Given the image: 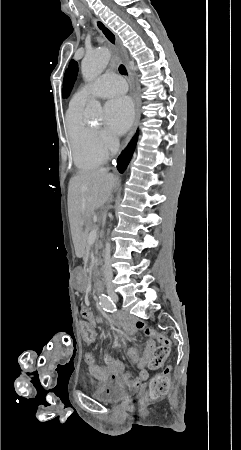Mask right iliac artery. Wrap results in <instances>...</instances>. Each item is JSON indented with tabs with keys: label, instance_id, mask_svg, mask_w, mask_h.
<instances>
[{
	"label": "right iliac artery",
	"instance_id": "obj_1",
	"mask_svg": "<svg viewBox=\"0 0 241 450\" xmlns=\"http://www.w3.org/2000/svg\"><path fill=\"white\" fill-rule=\"evenodd\" d=\"M99 298H100V305L105 311L107 312L116 311V305L109 296L102 294Z\"/></svg>",
	"mask_w": 241,
	"mask_h": 450
}]
</instances>
